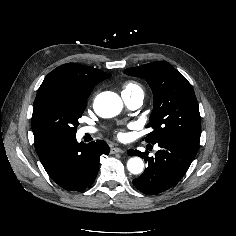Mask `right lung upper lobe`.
<instances>
[{
	"label": "right lung upper lobe",
	"instance_id": "cb5924a9",
	"mask_svg": "<svg viewBox=\"0 0 236 236\" xmlns=\"http://www.w3.org/2000/svg\"><path fill=\"white\" fill-rule=\"evenodd\" d=\"M111 75L93 67L67 63L51 71L40 87L56 85L67 88L80 96L90 95L94 86Z\"/></svg>",
	"mask_w": 236,
	"mask_h": 236
}]
</instances>
